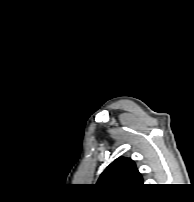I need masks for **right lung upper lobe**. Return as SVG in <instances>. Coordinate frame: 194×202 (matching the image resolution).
I'll return each instance as SVG.
<instances>
[{
  "instance_id": "obj_1",
  "label": "right lung upper lobe",
  "mask_w": 194,
  "mask_h": 202,
  "mask_svg": "<svg viewBox=\"0 0 194 202\" xmlns=\"http://www.w3.org/2000/svg\"><path fill=\"white\" fill-rule=\"evenodd\" d=\"M97 184L105 188L125 190L143 183L135 163L129 158L119 157L105 169Z\"/></svg>"
}]
</instances>
